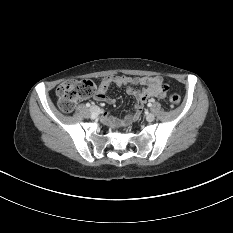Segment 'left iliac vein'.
I'll return each instance as SVG.
<instances>
[{"label": "left iliac vein", "instance_id": "obj_1", "mask_svg": "<svg viewBox=\"0 0 233 233\" xmlns=\"http://www.w3.org/2000/svg\"><path fill=\"white\" fill-rule=\"evenodd\" d=\"M154 119H155V115H154L153 113H148V114L146 115V120H147L148 122H152V121H154Z\"/></svg>", "mask_w": 233, "mask_h": 233}]
</instances>
